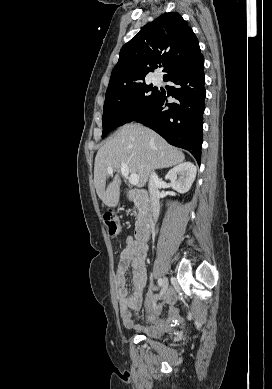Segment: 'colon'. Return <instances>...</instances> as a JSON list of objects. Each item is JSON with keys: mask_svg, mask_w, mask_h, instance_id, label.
<instances>
[{"mask_svg": "<svg viewBox=\"0 0 272 389\" xmlns=\"http://www.w3.org/2000/svg\"><path fill=\"white\" fill-rule=\"evenodd\" d=\"M104 223L106 225L109 235L111 237L117 236L120 230V223L117 216L112 212L106 213L104 215Z\"/></svg>", "mask_w": 272, "mask_h": 389, "instance_id": "1", "label": "colon"}]
</instances>
